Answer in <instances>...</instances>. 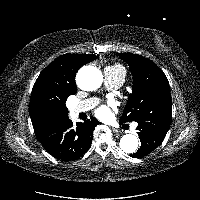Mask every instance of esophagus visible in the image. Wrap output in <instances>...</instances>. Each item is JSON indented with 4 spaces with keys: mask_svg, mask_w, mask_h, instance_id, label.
<instances>
[{
    "mask_svg": "<svg viewBox=\"0 0 200 200\" xmlns=\"http://www.w3.org/2000/svg\"><path fill=\"white\" fill-rule=\"evenodd\" d=\"M111 129H112V132H113V133H117V134L121 133L119 130H117V129H115V128H111Z\"/></svg>",
    "mask_w": 200,
    "mask_h": 200,
    "instance_id": "obj_1",
    "label": "esophagus"
}]
</instances>
